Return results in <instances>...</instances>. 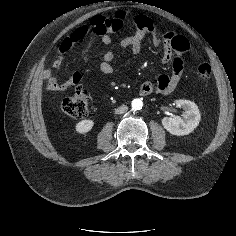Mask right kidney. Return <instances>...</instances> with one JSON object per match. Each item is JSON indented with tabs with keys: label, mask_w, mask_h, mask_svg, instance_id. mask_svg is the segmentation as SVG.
<instances>
[{
	"label": "right kidney",
	"mask_w": 236,
	"mask_h": 236,
	"mask_svg": "<svg viewBox=\"0 0 236 236\" xmlns=\"http://www.w3.org/2000/svg\"><path fill=\"white\" fill-rule=\"evenodd\" d=\"M93 125L92 120H82L76 124L75 129L78 133L85 134L93 128Z\"/></svg>",
	"instance_id": "1"
}]
</instances>
